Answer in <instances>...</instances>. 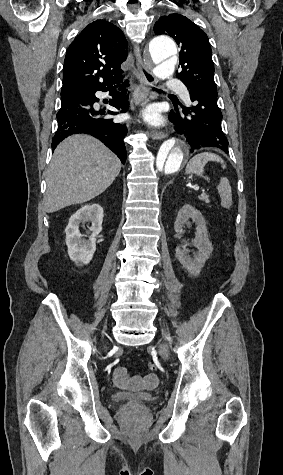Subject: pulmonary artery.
I'll return each instance as SVG.
<instances>
[{
  "label": "pulmonary artery",
  "mask_w": 283,
  "mask_h": 475,
  "mask_svg": "<svg viewBox=\"0 0 283 475\" xmlns=\"http://www.w3.org/2000/svg\"><path fill=\"white\" fill-rule=\"evenodd\" d=\"M177 90L176 93L178 96H183L185 100L189 101V90L187 87H184L179 81L173 84ZM165 87L166 88H171L172 87V82L171 81H166L165 82Z\"/></svg>",
  "instance_id": "1"
}]
</instances>
